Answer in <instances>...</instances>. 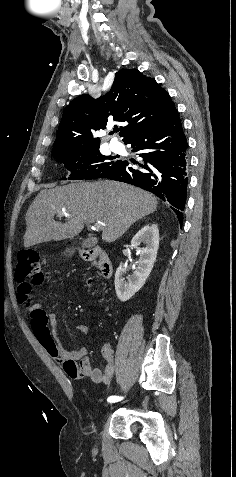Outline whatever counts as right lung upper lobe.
I'll list each match as a JSON object with an SVG mask.
<instances>
[{"label":"right lung upper lobe","mask_w":236,"mask_h":477,"mask_svg":"<svg viewBox=\"0 0 236 477\" xmlns=\"http://www.w3.org/2000/svg\"><path fill=\"white\" fill-rule=\"evenodd\" d=\"M176 111L168 93L154 79L136 69L120 70L108 93L98 99L80 95L65 108L53 154L100 146L94 133L105 129L110 120L128 123L121 127L126 143L137 134L162 126Z\"/></svg>","instance_id":"cb5924a9"}]
</instances>
